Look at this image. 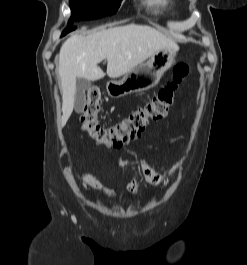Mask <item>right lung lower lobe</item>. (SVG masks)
Segmentation results:
<instances>
[{"label":"right lung lower lobe","instance_id":"obj_1","mask_svg":"<svg viewBox=\"0 0 247 265\" xmlns=\"http://www.w3.org/2000/svg\"><path fill=\"white\" fill-rule=\"evenodd\" d=\"M73 29H75L74 27L68 26L62 33V36L66 35L68 32L72 31Z\"/></svg>","mask_w":247,"mask_h":265}]
</instances>
